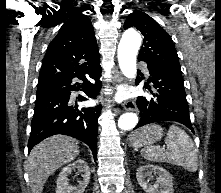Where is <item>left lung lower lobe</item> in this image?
Here are the masks:
<instances>
[{"label": "left lung lower lobe", "instance_id": "0a47b994", "mask_svg": "<svg viewBox=\"0 0 221 193\" xmlns=\"http://www.w3.org/2000/svg\"><path fill=\"white\" fill-rule=\"evenodd\" d=\"M148 70L153 89L149 88L151 97L137 98L141 117L134 129L153 122L176 121L193 131L181 73L150 64Z\"/></svg>", "mask_w": 221, "mask_h": 193}]
</instances>
